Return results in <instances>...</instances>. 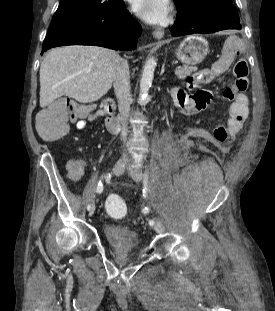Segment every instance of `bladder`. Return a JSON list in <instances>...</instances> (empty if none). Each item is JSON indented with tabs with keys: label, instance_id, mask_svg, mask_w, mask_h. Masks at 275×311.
Masks as SVG:
<instances>
[{
	"label": "bladder",
	"instance_id": "31cf9c89",
	"mask_svg": "<svg viewBox=\"0 0 275 311\" xmlns=\"http://www.w3.org/2000/svg\"><path fill=\"white\" fill-rule=\"evenodd\" d=\"M104 234L109 243L118 248H132L138 240L137 232L125 225H105Z\"/></svg>",
	"mask_w": 275,
	"mask_h": 311
}]
</instances>
